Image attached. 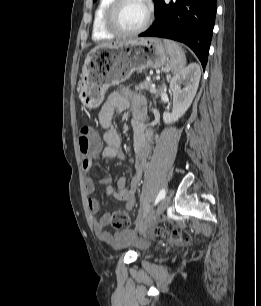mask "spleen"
Returning <instances> with one entry per match:
<instances>
[{"mask_svg":"<svg viewBox=\"0 0 261 306\" xmlns=\"http://www.w3.org/2000/svg\"><path fill=\"white\" fill-rule=\"evenodd\" d=\"M164 45L170 57V67L173 73L180 72L186 65V57L183 49L174 41L165 39Z\"/></svg>","mask_w":261,"mask_h":306,"instance_id":"3e777b00","label":"spleen"}]
</instances>
